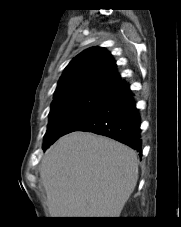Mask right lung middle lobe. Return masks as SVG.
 <instances>
[{"instance_id":"obj_1","label":"right lung middle lobe","mask_w":181,"mask_h":227,"mask_svg":"<svg viewBox=\"0 0 181 227\" xmlns=\"http://www.w3.org/2000/svg\"><path fill=\"white\" fill-rule=\"evenodd\" d=\"M111 92L110 90L85 92L53 101L44 145L54 143L70 127L98 110Z\"/></svg>"}]
</instances>
